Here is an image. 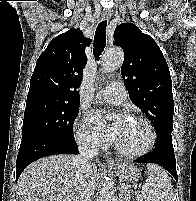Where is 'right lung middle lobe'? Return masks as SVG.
<instances>
[{"label":"right lung middle lobe","instance_id":"1","mask_svg":"<svg viewBox=\"0 0 196 201\" xmlns=\"http://www.w3.org/2000/svg\"><path fill=\"white\" fill-rule=\"evenodd\" d=\"M79 103L42 98L27 100L22 138L34 134L74 138L73 122L79 111Z\"/></svg>","mask_w":196,"mask_h":201}]
</instances>
